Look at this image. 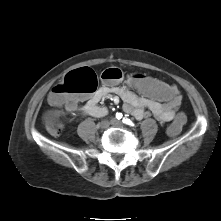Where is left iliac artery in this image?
Returning <instances> with one entry per match:
<instances>
[{"mask_svg": "<svg viewBox=\"0 0 221 221\" xmlns=\"http://www.w3.org/2000/svg\"><path fill=\"white\" fill-rule=\"evenodd\" d=\"M123 123L129 126H134V123L128 118H123Z\"/></svg>", "mask_w": 221, "mask_h": 221, "instance_id": "1", "label": "left iliac artery"}]
</instances>
